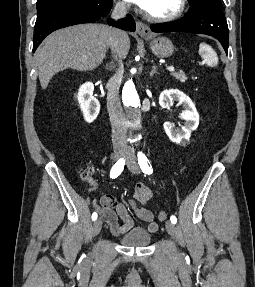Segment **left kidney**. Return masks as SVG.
Here are the masks:
<instances>
[{
  "label": "left kidney",
  "instance_id": "left-kidney-1",
  "mask_svg": "<svg viewBox=\"0 0 255 287\" xmlns=\"http://www.w3.org/2000/svg\"><path fill=\"white\" fill-rule=\"evenodd\" d=\"M174 100H177L179 104H183V112L180 116L182 120H185V126H181V130H175L174 124L171 122H165L164 130L171 142L176 144H187L191 136L192 130H196L199 126V114L190 98L180 92V90H164L159 96V104L161 108H170Z\"/></svg>",
  "mask_w": 255,
  "mask_h": 287
}]
</instances>
